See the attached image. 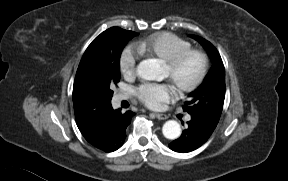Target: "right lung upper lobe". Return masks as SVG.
Wrapping results in <instances>:
<instances>
[{
    "mask_svg": "<svg viewBox=\"0 0 288 181\" xmlns=\"http://www.w3.org/2000/svg\"><path fill=\"white\" fill-rule=\"evenodd\" d=\"M113 28L118 27H112L104 31L97 38ZM125 31L129 34L137 35L135 32ZM89 48L90 45L84 54H86ZM73 104L76 123L82 135L95 147L100 146L107 135L106 124L111 109V102L106 101L100 95L86 87L79 79L78 70L73 86Z\"/></svg>",
    "mask_w": 288,
    "mask_h": 181,
    "instance_id": "right-lung-upper-lobe-1",
    "label": "right lung upper lobe"
}]
</instances>
